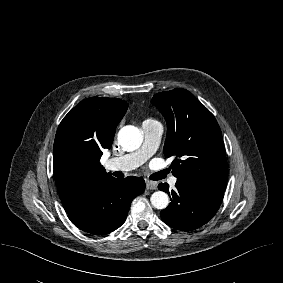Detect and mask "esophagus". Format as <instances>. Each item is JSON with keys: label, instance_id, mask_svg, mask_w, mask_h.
<instances>
[{"label": "esophagus", "instance_id": "34e87169", "mask_svg": "<svg viewBox=\"0 0 283 283\" xmlns=\"http://www.w3.org/2000/svg\"><path fill=\"white\" fill-rule=\"evenodd\" d=\"M146 189L155 190L157 189V183L152 181H146Z\"/></svg>", "mask_w": 283, "mask_h": 283}]
</instances>
